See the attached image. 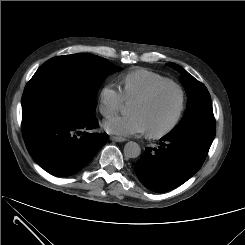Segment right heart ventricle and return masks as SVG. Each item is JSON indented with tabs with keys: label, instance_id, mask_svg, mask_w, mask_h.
I'll use <instances>...</instances> for the list:
<instances>
[{
	"label": "right heart ventricle",
	"instance_id": "right-heart-ventricle-1",
	"mask_svg": "<svg viewBox=\"0 0 245 245\" xmlns=\"http://www.w3.org/2000/svg\"><path fill=\"white\" fill-rule=\"evenodd\" d=\"M168 77L148 69H135L127 72L121 78V93L125 101L131 102L133 99L147 93L153 87L165 83H171Z\"/></svg>",
	"mask_w": 245,
	"mask_h": 245
}]
</instances>
